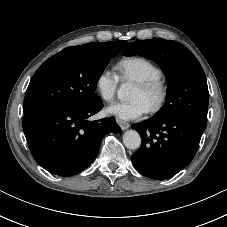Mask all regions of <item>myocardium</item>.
<instances>
[{"instance_id":"obj_1","label":"myocardium","mask_w":227,"mask_h":227,"mask_svg":"<svg viewBox=\"0 0 227 227\" xmlns=\"http://www.w3.org/2000/svg\"><path fill=\"white\" fill-rule=\"evenodd\" d=\"M136 85L146 93L155 94L154 101L148 107L150 113H156L162 109L168 98L169 86L161 76L137 81Z\"/></svg>"}]
</instances>
